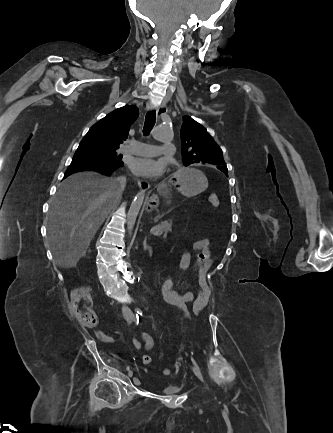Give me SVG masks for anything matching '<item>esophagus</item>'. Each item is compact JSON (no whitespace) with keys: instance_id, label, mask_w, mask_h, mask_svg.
<instances>
[{"instance_id":"1","label":"esophagus","mask_w":333,"mask_h":433,"mask_svg":"<svg viewBox=\"0 0 333 433\" xmlns=\"http://www.w3.org/2000/svg\"><path fill=\"white\" fill-rule=\"evenodd\" d=\"M166 113H167V106L165 104H162L157 110L156 121L160 122L162 116L165 115ZM137 184L142 191H146L150 187V183L145 179H138Z\"/></svg>"}]
</instances>
